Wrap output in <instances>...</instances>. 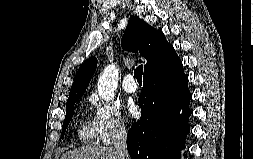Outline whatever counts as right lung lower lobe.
<instances>
[{"instance_id":"obj_1","label":"right lung lower lobe","mask_w":253,"mask_h":159,"mask_svg":"<svg viewBox=\"0 0 253 159\" xmlns=\"http://www.w3.org/2000/svg\"><path fill=\"white\" fill-rule=\"evenodd\" d=\"M187 84L182 62L166 73L144 76L138 99L142 116L127 135V149L132 159H176L180 156L191 115L192 95Z\"/></svg>"}]
</instances>
